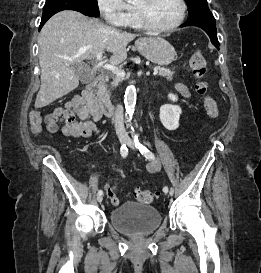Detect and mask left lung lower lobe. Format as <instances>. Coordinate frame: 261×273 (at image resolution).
Listing matches in <instances>:
<instances>
[{"label":"left lung lower lobe","mask_w":261,"mask_h":273,"mask_svg":"<svg viewBox=\"0 0 261 273\" xmlns=\"http://www.w3.org/2000/svg\"><path fill=\"white\" fill-rule=\"evenodd\" d=\"M185 26H196L202 28L210 37L212 44L219 49L216 21L208 6L191 13L187 21L182 25V27Z\"/></svg>","instance_id":"obj_1"}]
</instances>
